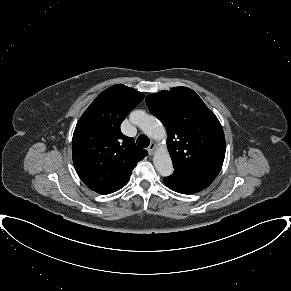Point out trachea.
<instances>
[{"mask_svg":"<svg viewBox=\"0 0 291 291\" xmlns=\"http://www.w3.org/2000/svg\"><path fill=\"white\" fill-rule=\"evenodd\" d=\"M136 143L139 147L146 148L149 146L150 140L146 135L141 134L138 136Z\"/></svg>","mask_w":291,"mask_h":291,"instance_id":"trachea-1","label":"trachea"}]
</instances>
